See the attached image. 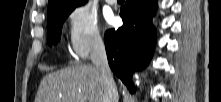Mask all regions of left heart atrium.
<instances>
[{"label": "left heart atrium", "instance_id": "left-heart-atrium-1", "mask_svg": "<svg viewBox=\"0 0 221 102\" xmlns=\"http://www.w3.org/2000/svg\"><path fill=\"white\" fill-rule=\"evenodd\" d=\"M108 22L111 23V24H113V23L115 22V18H114L113 16H110V17L108 18Z\"/></svg>", "mask_w": 221, "mask_h": 102}]
</instances>
